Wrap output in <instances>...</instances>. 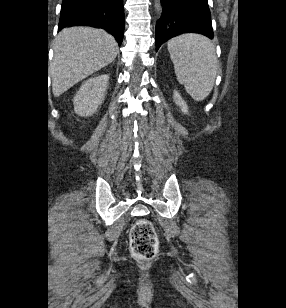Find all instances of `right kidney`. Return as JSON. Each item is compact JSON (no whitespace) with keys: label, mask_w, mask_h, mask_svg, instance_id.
<instances>
[{"label":"right kidney","mask_w":286,"mask_h":308,"mask_svg":"<svg viewBox=\"0 0 286 308\" xmlns=\"http://www.w3.org/2000/svg\"><path fill=\"white\" fill-rule=\"evenodd\" d=\"M108 80V75H100L82 84L73 99L74 111L77 115L87 117L97 111L104 100Z\"/></svg>","instance_id":"obj_1"}]
</instances>
